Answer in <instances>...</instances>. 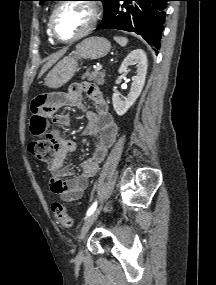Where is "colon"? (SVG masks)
Listing matches in <instances>:
<instances>
[{
	"label": "colon",
	"instance_id": "colon-1",
	"mask_svg": "<svg viewBox=\"0 0 216 285\" xmlns=\"http://www.w3.org/2000/svg\"><path fill=\"white\" fill-rule=\"evenodd\" d=\"M29 150L38 160L45 163L51 162L55 156L53 144H45V141H40V139L31 141ZM51 209L62 227L70 228L72 226V219L67 212L66 206L62 202H54Z\"/></svg>",
	"mask_w": 216,
	"mask_h": 285
}]
</instances>
